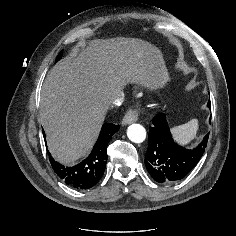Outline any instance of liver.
I'll list each match as a JSON object with an SVG mask.
<instances>
[{"mask_svg": "<svg viewBox=\"0 0 236 236\" xmlns=\"http://www.w3.org/2000/svg\"><path fill=\"white\" fill-rule=\"evenodd\" d=\"M168 73L162 53L136 38L95 39L48 73L41 91V123L60 163L86 156L107 109L125 85L156 88Z\"/></svg>", "mask_w": 236, "mask_h": 236, "instance_id": "1", "label": "liver"}]
</instances>
